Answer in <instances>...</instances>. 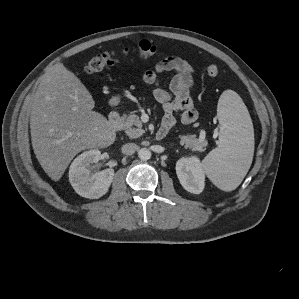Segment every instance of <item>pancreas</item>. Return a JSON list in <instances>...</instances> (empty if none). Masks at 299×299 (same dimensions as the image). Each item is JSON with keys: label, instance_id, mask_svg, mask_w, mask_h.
Here are the masks:
<instances>
[{"label": "pancreas", "instance_id": "cf45deb5", "mask_svg": "<svg viewBox=\"0 0 299 299\" xmlns=\"http://www.w3.org/2000/svg\"><path fill=\"white\" fill-rule=\"evenodd\" d=\"M122 120L125 133L130 138L135 139L145 133V131L142 129V122L140 121L139 116L136 114L123 116ZM179 138V143L181 145H184L186 148H189L193 151H204L208 144L204 137L196 138V135H180Z\"/></svg>", "mask_w": 299, "mask_h": 299}]
</instances>
